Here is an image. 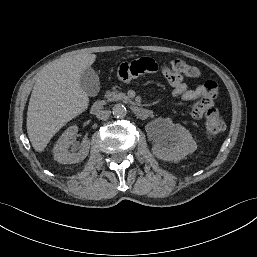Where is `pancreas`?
<instances>
[{
    "instance_id": "cf45deb5",
    "label": "pancreas",
    "mask_w": 257,
    "mask_h": 257,
    "mask_svg": "<svg viewBox=\"0 0 257 257\" xmlns=\"http://www.w3.org/2000/svg\"><path fill=\"white\" fill-rule=\"evenodd\" d=\"M105 98L107 99V101H119V100H123V101H128V97L121 92H117V91H106L105 93Z\"/></svg>"
}]
</instances>
